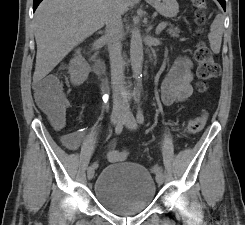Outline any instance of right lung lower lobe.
<instances>
[{
    "mask_svg": "<svg viewBox=\"0 0 245 225\" xmlns=\"http://www.w3.org/2000/svg\"><path fill=\"white\" fill-rule=\"evenodd\" d=\"M42 0H34V4H33V10L35 11V9L37 8V6L39 5V3L41 2Z\"/></svg>",
    "mask_w": 245,
    "mask_h": 225,
    "instance_id": "1",
    "label": "right lung lower lobe"
}]
</instances>
